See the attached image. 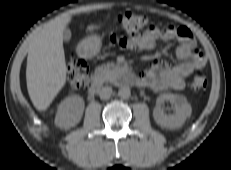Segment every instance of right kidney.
I'll list each match as a JSON object with an SVG mask.
<instances>
[{"label": "right kidney", "mask_w": 231, "mask_h": 170, "mask_svg": "<svg viewBox=\"0 0 231 170\" xmlns=\"http://www.w3.org/2000/svg\"><path fill=\"white\" fill-rule=\"evenodd\" d=\"M84 100L78 95L65 98L58 106L55 125L60 128H71L79 123L84 111Z\"/></svg>", "instance_id": "right-kidney-1"}]
</instances>
